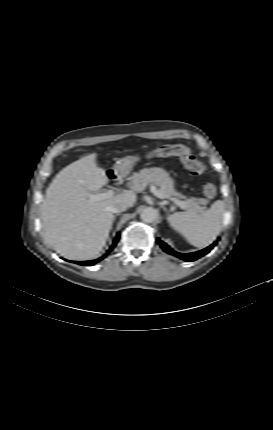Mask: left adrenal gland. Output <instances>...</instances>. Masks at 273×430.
<instances>
[{"mask_svg": "<svg viewBox=\"0 0 273 430\" xmlns=\"http://www.w3.org/2000/svg\"><path fill=\"white\" fill-rule=\"evenodd\" d=\"M162 208L164 209V211H167V209L164 206H162Z\"/></svg>", "mask_w": 273, "mask_h": 430, "instance_id": "left-adrenal-gland-1", "label": "left adrenal gland"}]
</instances>
